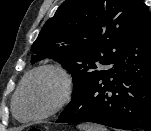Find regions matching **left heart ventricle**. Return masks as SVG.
Wrapping results in <instances>:
<instances>
[{
    "label": "left heart ventricle",
    "instance_id": "b2bd125f",
    "mask_svg": "<svg viewBox=\"0 0 151 131\" xmlns=\"http://www.w3.org/2000/svg\"><path fill=\"white\" fill-rule=\"evenodd\" d=\"M61 83L52 74L34 77L25 87L18 102V111L22 117H29L49 109L59 98Z\"/></svg>",
    "mask_w": 151,
    "mask_h": 131
}]
</instances>
